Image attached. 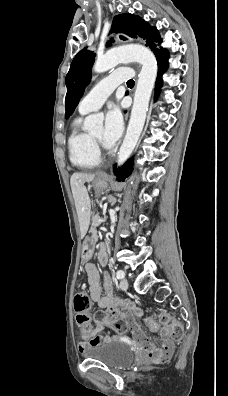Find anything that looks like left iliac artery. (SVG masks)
<instances>
[{
	"label": "left iliac artery",
	"instance_id": "44dca946",
	"mask_svg": "<svg viewBox=\"0 0 228 396\" xmlns=\"http://www.w3.org/2000/svg\"><path fill=\"white\" fill-rule=\"evenodd\" d=\"M117 279H122L124 278L125 274L122 270H118L116 273Z\"/></svg>",
	"mask_w": 228,
	"mask_h": 396
}]
</instances>
